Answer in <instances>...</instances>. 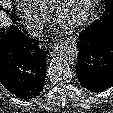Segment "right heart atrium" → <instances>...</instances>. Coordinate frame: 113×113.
Listing matches in <instances>:
<instances>
[{
	"label": "right heart atrium",
	"mask_w": 113,
	"mask_h": 113,
	"mask_svg": "<svg viewBox=\"0 0 113 113\" xmlns=\"http://www.w3.org/2000/svg\"><path fill=\"white\" fill-rule=\"evenodd\" d=\"M19 17L27 30L32 33L40 30L45 22V15L25 5L19 7Z\"/></svg>",
	"instance_id": "right-heart-atrium-1"
}]
</instances>
